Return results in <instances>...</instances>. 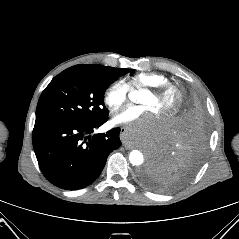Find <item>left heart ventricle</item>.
<instances>
[{"label":"left heart ventricle","mask_w":239,"mask_h":239,"mask_svg":"<svg viewBox=\"0 0 239 239\" xmlns=\"http://www.w3.org/2000/svg\"><path fill=\"white\" fill-rule=\"evenodd\" d=\"M140 103L149 106L157 116H160L172 106L173 97L169 95L156 98L151 93L144 91L140 97Z\"/></svg>","instance_id":"obj_1"}]
</instances>
